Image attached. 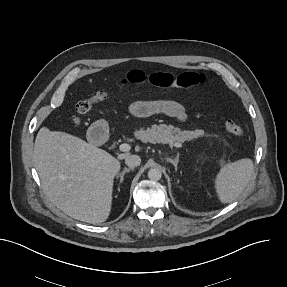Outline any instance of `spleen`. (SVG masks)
Here are the masks:
<instances>
[{
	"label": "spleen",
	"instance_id": "3e777b00",
	"mask_svg": "<svg viewBox=\"0 0 287 287\" xmlns=\"http://www.w3.org/2000/svg\"><path fill=\"white\" fill-rule=\"evenodd\" d=\"M253 173V161L243 158L224 165L215 178V189L222 203L234 201L243 192Z\"/></svg>",
	"mask_w": 287,
	"mask_h": 287
}]
</instances>
